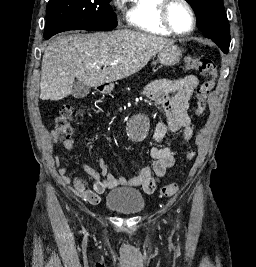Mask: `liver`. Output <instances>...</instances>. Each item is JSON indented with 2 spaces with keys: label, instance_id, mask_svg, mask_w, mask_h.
Instances as JSON below:
<instances>
[{
  "label": "liver",
  "instance_id": "1",
  "mask_svg": "<svg viewBox=\"0 0 256 267\" xmlns=\"http://www.w3.org/2000/svg\"><path fill=\"white\" fill-rule=\"evenodd\" d=\"M166 44H173V40L133 30L58 36L45 48L42 58L40 98L63 100L72 94L75 78L91 88L128 78ZM101 60L111 64H98Z\"/></svg>",
  "mask_w": 256,
  "mask_h": 267
}]
</instances>
